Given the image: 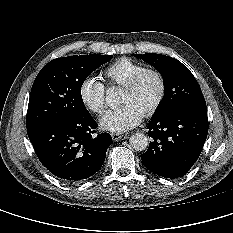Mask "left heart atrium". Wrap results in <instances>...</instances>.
<instances>
[{
	"label": "left heart atrium",
	"instance_id": "obj_1",
	"mask_svg": "<svg viewBox=\"0 0 233 233\" xmlns=\"http://www.w3.org/2000/svg\"><path fill=\"white\" fill-rule=\"evenodd\" d=\"M142 118L143 113L134 105L124 104L120 108L105 114L100 124L105 130L125 132L137 126Z\"/></svg>",
	"mask_w": 233,
	"mask_h": 233
}]
</instances>
